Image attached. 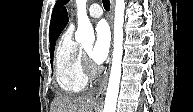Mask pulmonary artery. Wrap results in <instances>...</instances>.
Listing matches in <instances>:
<instances>
[{
	"mask_svg": "<svg viewBox=\"0 0 193 112\" xmlns=\"http://www.w3.org/2000/svg\"><path fill=\"white\" fill-rule=\"evenodd\" d=\"M103 14L102 8L99 4L93 3L88 9V15L91 18H100Z\"/></svg>",
	"mask_w": 193,
	"mask_h": 112,
	"instance_id": "1",
	"label": "pulmonary artery"
}]
</instances>
